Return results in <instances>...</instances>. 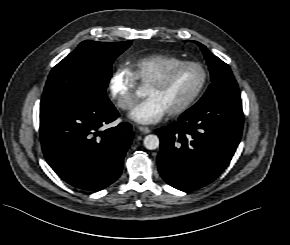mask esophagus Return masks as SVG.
I'll list each match as a JSON object with an SVG mask.
<instances>
[{
    "instance_id": "34e87169",
    "label": "esophagus",
    "mask_w": 290,
    "mask_h": 245,
    "mask_svg": "<svg viewBox=\"0 0 290 245\" xmlns=\"http://www.w3.org/2000/svg\"><path fill=\"white\" fill-rule=\"evenodd\" d=\"M138 130L140 132H142L143 134H148L150 133V129L148 127H144V126H138Z\"/></svg>"
}]
</instances>
